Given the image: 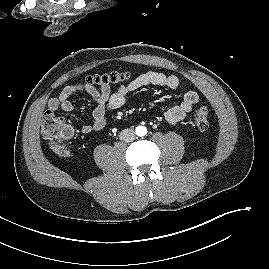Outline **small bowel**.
<instances>
[{
	"label": "small bowel",
	"mask_w": 269,
	"mask_h": 269,
	"mask_svg": "<svg viewBox=\"0 0 269 269\" xmlns=\"http://www.w3.org/2000/svg\"><path fill=\"white\" fill-rule=\"evenodd\" d=\"M179 84L180 80L176 75H166L156 71L142 73L129 83L120 85L114 92L107 85L100 86L98 89L89 84H70L65 86L57 97L49 100L47 112L54 114L59 109L65 112L71 111L73 109L71 96L78 91H85L97 104L92 114V122L81 127L83 134H89L103 129L107 124V113L121 108L130 93L148 85L176 89ZM198 102V93L188 91L180 101L166 106L163 109V116L170 124H176L183 120ZM72 134L73 128L67 125L66 137H70Z\"/></svg>",
	"instance_id": "c3829d8e"
}]
</instances>
